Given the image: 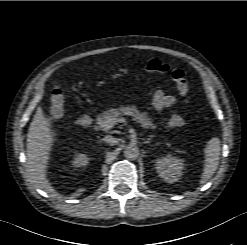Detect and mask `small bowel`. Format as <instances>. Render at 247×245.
Instances as JSON below:
<instances>
[{"instance_id":"obj_1","label":"small bowel","mask_w":247,"mask_h":245,"mask_svg":"<svg viewBox=\"0 0 247 245\" xmlns=\"http://www.w3.org/2000/svg\"><path fill=\"white\" fill-rule=\"evenodd\" d=\"M176 101V97L172 94H166L165 92L158 90L155 92L152 100L153 107L160 111L171 107Z\"/></svg>"}]
</instances>
